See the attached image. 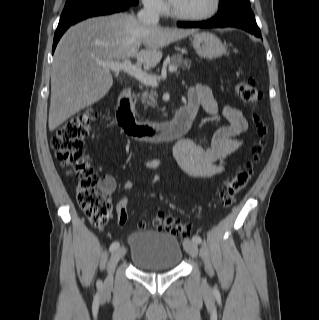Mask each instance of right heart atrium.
<instances>
[{
    "label": "right heart atrium",
    "instance_id": "d8ad5b80",
    "mask_svg": "<svg viewBox=\"0 0 319 320\" xmlns=\"http://www.w3.org/2000/svg\"><path fill=\"white\" fill-rule=\"evenodd\" d=\"M145 9L151 13L161 15L167 10L164 0H142Z\"/></svg>",
    "mask_w": 319,
    "mask_h": 320
}]
</instances>
